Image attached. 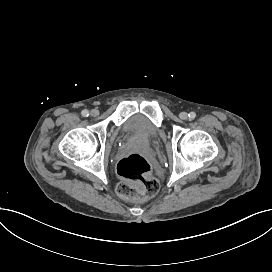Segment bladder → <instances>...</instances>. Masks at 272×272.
<instances>
[{
  "mask_svg": "<svg viewBox=\"0 0 272 272\" xmlns=\"http://www.w3.org/2000/svg\"><path fill=\"white\" fill-rule=\"evenodd\" d=\"M160 131L149 119L141 115L129 117L119 130L118 139L123 142L125 138H133L136 141L153 144L158 138Z\"/></svg>",
  "mask_w": 272,
  "mask_h": 272,
  "instance_id": "1",
  "label": "bladder"
}]
</instances>
